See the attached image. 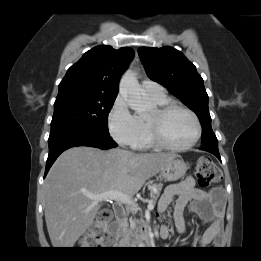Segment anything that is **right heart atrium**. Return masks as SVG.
Returning a JSON list of instances; mask_svg holds the SVG:
<instances>
[{"mask_svg":"<svg viewBox=\"0 0 261 261\" xmlns=\"http://www.w3.org/2000/svg\"><path fill=\"white\" fill-rule=\"evenodd\" d=\"M108 128L112 138L122 146L137 147L141 138V125L126 101L118 95L108 114Z\"/></svg>","mask_w":261,"mask_h":261,"instance_id":"1","label":"right heart atrium"}]
</instances>
